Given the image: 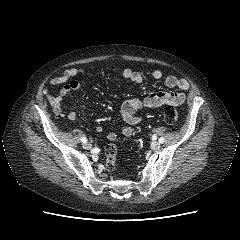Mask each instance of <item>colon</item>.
<instances>
[{"mask_svg": "<svg viewBox=\"0 0 240 240\" xmlns=\"http://www.w3.org/2000/svg\"><path fill=\"white\" fill-rule=\"evenodd\" d=\"M180 119L179 111L169 106L164 111V120L168 124H174L178 122ZM116 156H117V146L114 143H110L105 148V160L106 167L109 171H112L116 167Z\"/></svg>", "mask_w": 240, "mask_h": 240, "instance_id": "5ec220e1", "label": "colon"}]
</instances>
